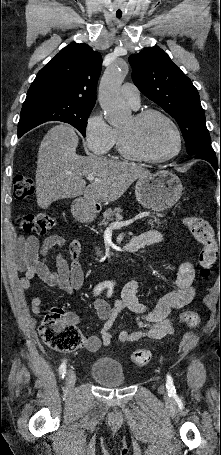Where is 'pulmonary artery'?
Returning <instances> with one entry per match:
<instances>
[{"label": "pulmonary artery", "mask_w": 221, "mask_h": 455, "mask_svg": "<svg viewBox=\"0 0 221 455\" xmlns=\"http://www.w3.org/2000/svg\"><path fill=\"white\" fill-rule=\"evenodd\" d=\"M121 95L130 103L133 108H138L140 103V93L138 88L132 83H125L121 87Z\"/></svg>", "instance_id": "pulmonary-artery-1"}]
</instances>
